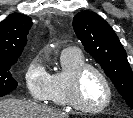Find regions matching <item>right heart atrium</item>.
I'll return each instance as SVG.
<instances>
[{
	"label": "right heart atrium",
	"mask_w": 133,
	"mask_h": 118,
	"mask_svg": "<svg viewBox=\"0 0 133 118\" xmlns=\"http://www.w3.org/2000/svg\"><path fill=\"white\" fill-rule=\"evenodd\" d=\"M24 81L30 97L40 103H46L50 96V75L42 62L33 58L24 71Z\"/></svg>",
	"instance_id": "d8ad5b80"
}]
</instances>
